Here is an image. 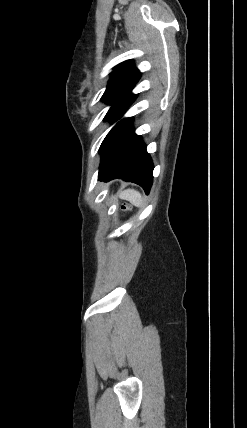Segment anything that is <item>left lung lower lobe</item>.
Instances as JSON below:
<instances>
[{
  "label": "left lung lower lobe",
  "instance_id": "obj_1",
  "mask_svg": "<svg viewBox=\"0 0 247 428\" xmlns=\"http://www.w3.org/2000/svg\"><path fill=\"white\" fill-rule=\"evenodd\" d=\"M134 101L118 110L110 120H118ZM132 118L119 121L100 146L101 163L98 179L121 178L139 184L148 194L152 185L153 164L140 136L134 133Z\"/></svg>",
  "mask_w": 247,
  "mask_h": 428
}]
</instances>
